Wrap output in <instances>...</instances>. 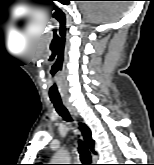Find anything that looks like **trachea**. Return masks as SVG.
Here are the masks:
<instances>
[{"mask_svg":"<svg viewBox=\"0 0 154 165\" xmlns=\"http://www.w3.org/2000/svg\"><path fill=\"white\" fill-rule=\"evenodd\" d=\"M51 102L54 104V107L60 116H62L67 121H72L60 98H51ZM79 154L80 160L82 161L81 165H91V154L81 140H79Z\"/></svg>","mask_w":154,"mask_h":165,"instance_id":"obj_1","label":"trachea"}]
</instances>
